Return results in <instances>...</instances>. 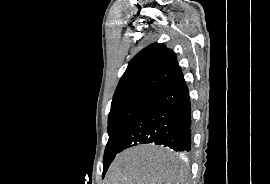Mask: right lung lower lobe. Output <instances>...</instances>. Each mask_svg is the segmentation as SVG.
Returning <instances> with one entry per match:
<instances>
[{"instance_id": "98d812e1", "label": "right lung lower lobe", "mask_w": 270, "mask_h": 184, "mask_svg": "<svg viewBox=\"0 0 270 184\" xmlns=\"http://www.w3.org/2000/svg\"><path fill=\"white\" fill-rule=\"evenodd\" d=\"M191 104L182 72L149 96L119 152L139 144L154 143L189 152L192 137Z\"/></svg>"}]
</instances>
